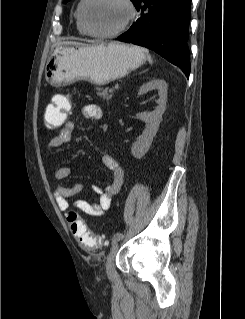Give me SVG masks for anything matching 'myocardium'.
Here are the masks:
<instances>
[{"label": "myocardium", "mask_w": 245, "mask_h": 319, "mask_svg": "<svg viewBox=\"0 0 245 319\" xmlns=\"http://www.w3.org/2000/svg\"><path fill=\"white\" fill-rule=\"evenodd\" d=\"M91 1L92 0H84L81 7L80 18L85 31L87 32V34H89L92 37H95L98 39H112V38L118 37L122 33H124L133 24V22L136 19L137 9L133 0H121V2H123L128 9V18L123 23V25L112 32H108V33L95 32L90 28L86 18L87 7Z\"/></svg>", "instance_id": "obj_1"}]
</instances>
